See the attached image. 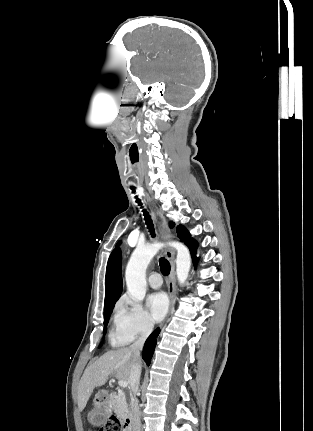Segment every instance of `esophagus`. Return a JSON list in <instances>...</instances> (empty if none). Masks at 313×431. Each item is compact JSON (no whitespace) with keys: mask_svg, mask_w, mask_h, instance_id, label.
<instances>
[{"mask_svg":"<svg viewBox=\"0 0 313 431\" xmlns=\"http://www.w3.org/2000/svg\"><path fill=\"white\" fill-rule=\"evenodd\" d=\"M147 201L150 205V207L152 208V210L155 212V214H157L161 220V228H160V235L161 238L163 240H168L172 237L171 231L168 228L167 222L164 218V216L161 214V212L158 210V208L155 206V204L152 202L151 198L149 196H147ZM165 256L166 258L169 260L170 262V275H169V279L167 282V287H168V293H169V297H170V309H169V314L167 317V320L169 318V316L171 315V313L174 310V306H175V300H176V273H175V251L168 247L165 249Z\"/></svg>","mask_w":313,"mask_h":431,"instance_id":"1","label":"esophagus"}]
</instances>
